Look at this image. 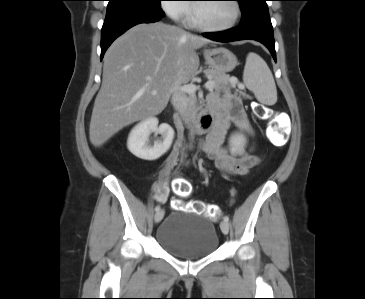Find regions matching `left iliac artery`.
I'll return each mask as SVG.
<instances>
[{
	"label": "left iliac artery",
	"instance_id": "left-iliac-artery-1",
	"mask_svg": "<svg viewBox=\"0 0 365 299\" xmlns=\"http://www.w3.org/2000/svg\"><path fill=\"white\" fill-rule=\"evenodd\" d=\"M223 220L226 221V222H228L229 221V217L228 216H224Z\"/></svg>",
	"mask_w": 365,
	"mask_h": 299
}]
</instances>
